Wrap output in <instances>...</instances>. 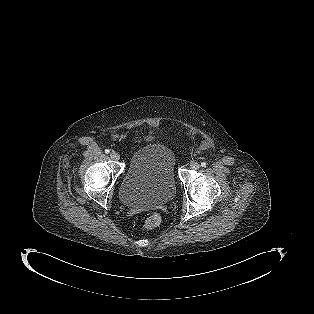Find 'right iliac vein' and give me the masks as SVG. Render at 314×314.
Returning <instances> with one entry per match:
<instances>
[{
	"label": "right iliac vein",
	"instance_id": "right-iliac-vein-1",
	"mask_svg": "<svg viewBox=\"0 0 314 314\" xmlns=\"http://www.w3.org/2000/svg\"><path fill=\"white\" fill-rule=\"evenodd\" d=\"M110 157L113 160H119V158H120L119 154L114 152V151L110 153Z\"/></svg>",
	"mask_w": 314,
	"mask_h": 314
}]
</instances>
